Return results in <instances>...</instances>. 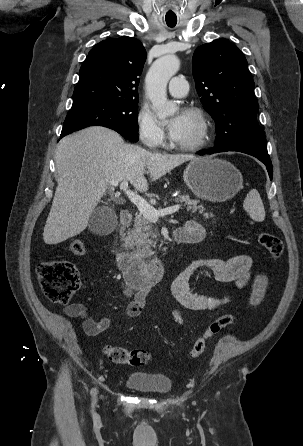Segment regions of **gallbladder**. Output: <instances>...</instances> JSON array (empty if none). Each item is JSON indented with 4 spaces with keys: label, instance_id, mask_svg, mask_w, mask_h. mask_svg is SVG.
<instances>
[{
    "label": "gallbladder",
    "instance_id": "bac80fb5",
    "mask_svg": "<svg viewBox=\"0 0 303 446\" xmlns=\"http://www.w3.org/2000/svg\"><path fill=\"white\" fill-rule=\"evenodd\" d=\"M117 222L112 208L101 206L93 211L89 219V230L96 234H104L112 230Z\"/></svg>",
    "mask_w": 303,
    "mask_h": 446
}]
</instances>
